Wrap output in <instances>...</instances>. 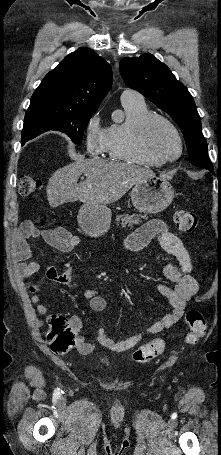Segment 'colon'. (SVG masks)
Returning <instances> with one entry per match:
<instances>
[{
    "instance_id": "colon-1",
    "label": "colon",
    "mask_w": 221,
    "mask_h": 455,
    "mask_svg": "<svg viewBox=\"0 0 221 455\" xmlns=\"http://www.w3.org/2000/svg\"><path fill=\"white\" fill-rule=\"evenodd\" d=\"M42 187L38 178L22 176L19 181L18 190L20 195L28 196ZM174 222L177 228L186 233H192L198 225L197 216L189 211H178L174 215ZM186 324L189 327L187 335L188 343H195L206 332V321L201 312L190 310L185 315ZM47 340L51 349L56 353H64L70 350L76 343L75 330L70 319L62 315H55L50 318V329ZM165 342L163 339H154L134 352V360L137 362L150 361L163 353Z\"/></svg>"
}]
</instances>
